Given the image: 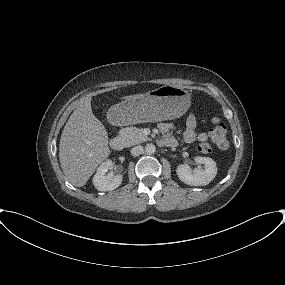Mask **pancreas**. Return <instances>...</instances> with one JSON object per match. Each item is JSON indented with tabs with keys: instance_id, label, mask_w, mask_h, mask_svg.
Returning <instances> with one entry per match:
<instances>
[{
	"instance_id": "obj_1",
	"label": "pancreas",
	"mask_w": 285,
	"mask_h": 285,
	"mask_svg": "<svg viewBox=\"0 0 285 285\" xmlns=\"http://www.w3.org/2000/svg\"><path fill=\"white\" fill-rule=\"evenodd\" d=\"M120 137L125 146H133L149 140V137L143 134V130L141 128L133 126L123 128L120 131Z\"/></svg>"
}]
</instances>
